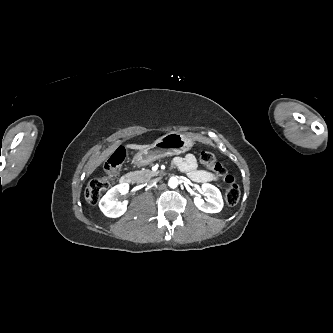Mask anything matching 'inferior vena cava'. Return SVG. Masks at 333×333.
<instances>
[{
	"label": "inferior vena cava",
	"instance_id": "inferior-vena-cava-1",
	"mask_svg": "<svg viewBox=\"0 0 333 333\" xmlns=\"http://www.w3.org/2000/svg\"><path fill=\"white\" fill-rule=\"evenodd\" d=\"M156 183V180H152V181H150L148 184L149 185H154Z\"/></svg>",
	"mask_w": 333,
	"mask_h": 333
}]
</instances>
